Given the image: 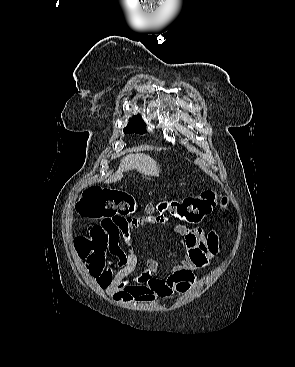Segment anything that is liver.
<instances>
[{
	"instance_id": "liver-1",
	"label": "liver",
	"mask_w": 295,
	"mask_h": 367,
	"mask_svg": "<svg viewBox=\"0 0 295 367\" xmlns=\"http://www.w3.org/2000/svg\"><path fill=\"white\" fill-rule=\"evenodd\" d=\"M133 169L145 176H158L160 172L157 162L149 155L141 153L130 154L121 160L118 170L106 182L119 181L123 177V172Z\"/></svg>"
}]
</instances>
